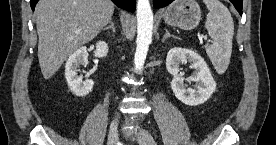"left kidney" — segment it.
I'll list each match as a JSON object with an SVG mask.
<instances>
[{"label": "left kidney", "instance_id": "1", "mask_svg": "<svg viewBox=\"0 0 276 145\" xmlns=\"http://www.w3.org/2000/svg\"><path fill=\"white\" fill-rule=\"evenodd\" d=\"M189 62L195 69L188 78L195 82L194 88H188L184 84L183 73H179L180 64ZM166 68L173 75L171 88L178 100L189 106H196L207 101L216 89L210 70L204 59L195 51L187 48L174 47L170 49L166 58Z\"/></svg>", "mask_w": 276, "mask_h": 145}]
</instances>
